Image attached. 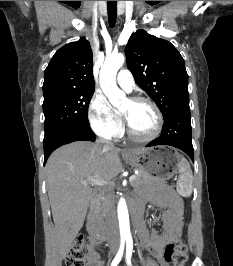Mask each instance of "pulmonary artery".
Returning a JSON list of instances; mask_svg holds the SVG:
<instances>
[{
    "instance_id": "obj_1",
    "label": "pulmonary artery",
    "mask_w": 233,
    "mask_h": 266,
    "mask_svg": "<svg viewBox=\"0 0 233 266\" xmlns=\"http://www.w3.org/2000/svg\"><path fill=\"white\" fill-rule=\"evenodd\" d=\"M117 83L122 89H124L127 92L132 91L135 85L133 75L127 69H123L118 73Z\"/></svg>"
}]
</instances>
